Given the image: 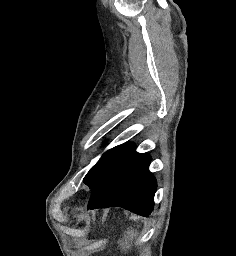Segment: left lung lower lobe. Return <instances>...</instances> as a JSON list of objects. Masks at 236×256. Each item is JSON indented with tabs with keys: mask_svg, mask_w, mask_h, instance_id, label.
Wrapping results in <instances>:
<instances>
[{
	"mask_svg": "<svg viewBox=\"0 0 236 256\" xmlns=\"http://www.w3.org/2000/svg\"><path fill=\"white\" fill-rule=\"evenodd\" d=\"M151 157L129 144L111 173L93 191L88 209L120 206L148 216L154 206L157 183L148 167Z\"/></svg>",
	"mask_w": 236,
	"mask_h": 256,
	"instance_id": "1",
	"label": "left lung lower lobe"
}]
</instances>
